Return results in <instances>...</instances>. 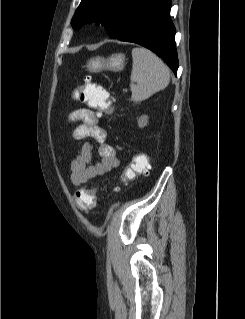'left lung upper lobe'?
I'll list each match as a JSON object with an SVG mask.
<instances>
[{"mask_svg":"<svg viewBox=\"0 0 245 319\" xmlns=\"http://www.w3.org/2000/svg\"><path fill=\"white\" fill-rule=\"evenodd\" d=\"M144 0H82L72 18L74 29L89 22L105 25L110 38H114L131 12Z\"/></svg>","mask_w":245,"mask_h":319,"instance_id":"obj_1","label":"left lung upper lobe"}]
</instances>
